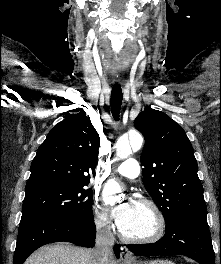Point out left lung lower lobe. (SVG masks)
Here are the masks:
<instances>
[{"mask_svg":"<svg viewBox=\"0 0 221 264\" xmlns=\"http://www.w3.org/2000/svg\"><path fill=\"white\" fill-rule=\"evenodd\" d=\"M134 255H185L200 264H215L207 219H176L166 222V233L151 244L127 245Z\"/></svg>","mask_w":221,"mask_h":264,"instance_id":"obj_1","label":"left lung lower lobe"}]
</instances>
